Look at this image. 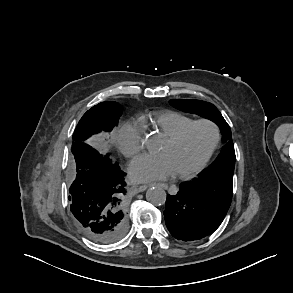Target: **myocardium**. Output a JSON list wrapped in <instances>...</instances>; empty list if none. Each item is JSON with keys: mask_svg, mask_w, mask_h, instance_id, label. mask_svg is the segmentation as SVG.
Here are the masks:
<instances>
[{"mask_svg": "<svg viewBox=\"0 0 293 293\" xmlns=\"http://www.w3.org/2000/svg\"><path fill=\"white\" fill-rule=\"evenodd\" d=\"M200 124L207 125L212 128L213 133H214L213 141H212L209 149L205 153V155L197 163L196 166H194L191 170H189L187 172L176 173V177L179 179H190V178L194 177L195 175H197L206 166V164L208 163V161L210 160V158L212 157V155L214 154L215 150L217 149V147L219 145L220 137H221L220 129H219L218 125L211 120L198 119V120H193L192 122L184 125L177 132L166 137V140L168 142L175 143V142L179 141L192 127H194L196 125H200Z\"/></svg>", "mask_w": 293, "mask_h": 293, "instance_id": "1", "label": "myocardium"}]
</instances>
